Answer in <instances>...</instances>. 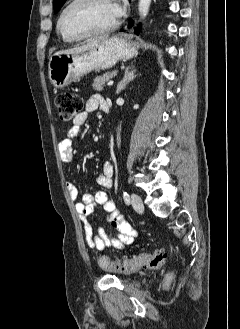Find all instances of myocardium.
Masks as SVG:
<instances>
[{"instance_id": "1", "label": "myocardium", "mask_w": 240, "mask_h": 329, "mask_svg": "<svg viewBox=\"0 0 240 329\" xmlns=\"http://www.w3.org/2000/svg\"><path fill=\"white\" fill-rule=\"evenodd\" d=\"M90 0H71V2L62 10V12L60 13L59 19H58V31L59 33L62 35V37L64 39H66L67 41H79V40H83L89 37H94V36H99V35H103V34H107L110 33L112 31H114L116 28H118L120 21L117 19L114 23H112L111 25L98 29V30H93V31H89L80 35H72L70 33H68L64 27V20L66 15L69 13V11L71 9H73L75 6L82 4V3H86L89 2Z\"/></svg>"}]
</instances>
